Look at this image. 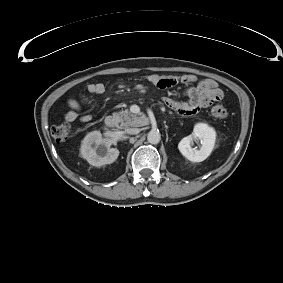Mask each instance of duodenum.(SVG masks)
<instances>
[{"label": "duodenum", "mask_w": 283, "mask_h": 283, "mask_svg": "<svg viewBox=\"0 0 283 283\" xmlns=\"http://www.w3.org/2000/svg\"><path fill=\"white\" fill-rule=\"evenodd\" d=\"M116 124H117V120L114 116H107L105 118V126L107 128H110V129L114 128L116 126Z\"/></svg>", "instance_id": "1"}]
</instances>
